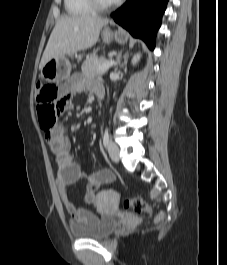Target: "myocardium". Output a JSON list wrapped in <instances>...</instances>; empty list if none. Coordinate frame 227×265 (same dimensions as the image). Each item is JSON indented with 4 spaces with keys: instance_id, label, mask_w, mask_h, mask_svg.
Masks as SVG:
<instances>
[{
    "instance_id": "obj_1",
    "label": "myocardium",
    "mask_w": 227,
    "mask_h": 265,
    "mask_svg": "<svg viewBox=\"0 0 227 265\" xmlns=\"http://www.w3.org/2000/svg\"><path fill=\"white\" fill-rule=\"evenodd\" d=\"M90 6L96 11H105L114 7L118 1L110 3H102L100 0H87Z\"/></svg>"
}]
</instances>
